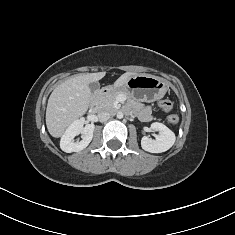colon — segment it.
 <instances>
[{"instance_id":"5ec220e1","label":"colon","mask_w":235,"mask_h":235,"mask_svg":"<svg viewBox=\"0 0 235 235\" xmlns=\"http://www.w3.org/2000/svg\"><path fill=\"white\" fill-rule=\"evenodd\" d=\"M159 108L166 114H170L172 109H173V105L169 100H162L159 102ZM169 122L172 124H176L178 122V117L177 115H170L169 116Z\"/></svg>"}]
</instances>
